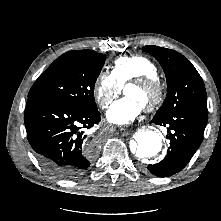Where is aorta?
I'll list each match as a JSON object with an SVG mask.
<instances>
[{"mask_svg":"<svg viewBox=\"0 0 221 221\" xmlns=\"http://www.w3.org/2000/svg\"><path fill=\"white\" fill-rule=\"evenodd\" d=\"M134 138L136 146L132 151L141 160L157 155L162 149V135L157 131L140 130Z\"/></svg>","mask_w":221,"mask_h":221,"instance_id":"1","label":"aorta"}]
</instances>
